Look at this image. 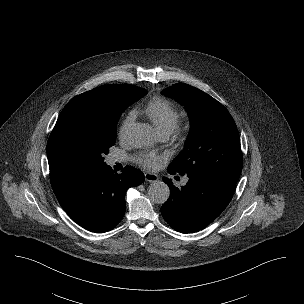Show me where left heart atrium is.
<instances>
[{
    "label": "left heart atrium",
    "mask_w": 304,
    "mask_h": 304,
    "mask_svg": "<svg viewBox=\"0 0 304 304\" xmlns=\"http://www.w3.org/2000/svg\"><path fill=\"white\" fill-rule=\"evenodd\" d=\"M163 160V156L152 153H140L135 157L137 164L146 169H153Z\"/></svg>",
    "instance_id": "left-heart-atrium-1"
}]
</instances>
